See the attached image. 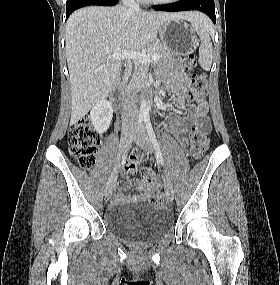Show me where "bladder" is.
I'll use <instances>...</instances> for the list:
<instances>
[{"label":"bladder","mask_w":280,"mask_h":285,"mask_svg":"<svg viewBox=\"0 0 280 285\" xmlns=\"http://www.w3.org/2000/svg\"><path fill=\"white\" fill-rule=\"evenodd\" d=\"M104 223L120 238L151 243L171 229L173 217L169 210L148 203L118 204L105 211Z\"/></svg>","instance_id":"obj_1"}]
</instances>
